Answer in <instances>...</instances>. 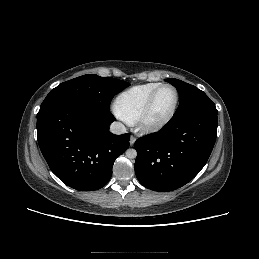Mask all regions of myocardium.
Segmentation results:
<instances>
[{"label": "myocardium", "instance_id": "1", "mask_svg": "<svg viewBox=\"0 0 259 259\" xmlns=\"http://www.w3.org/2000/svg\"><path fill=\"white\" fill-rule=\"evenodd\" d=\"M163 88H170L173 90L174 95H175L174 103H173L170 111L165 116L154 120L151 118L152 108H153L157 94ZM178 104H179V93H178L177 89L173 85L168 84V83L159 85L150 95L143 111L141 112L138 119L136 120L138 130L140 132L146 133V134L154 133V132L161 130L173 119V117L177 111Z\"/></svg>", "mask_w": 259, "mask_h": 259}]
</instances>
